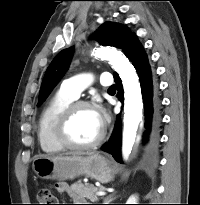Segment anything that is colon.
<instances>
[{
  "instance_id": "colon-1",
  "label": "colon",
  "mask_w": 200,
  "mask_h": 205,
  "mask_svg": "<svg viewBox=\"0 0 200 205\" xmlns=\"http://www.w3.org/2000/svg\"><path fill=\"white\" fill-rule=\"evenodd\" d=\"M36 197L39 202L38 205H56V198L48 188H39Z\"/></svg>"
}]
</instances>
